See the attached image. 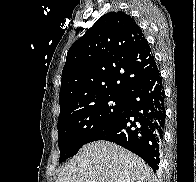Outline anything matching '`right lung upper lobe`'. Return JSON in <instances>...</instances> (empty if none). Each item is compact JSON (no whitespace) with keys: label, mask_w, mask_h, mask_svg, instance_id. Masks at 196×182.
<instances>
[{"label":"right lung upper lobe","mask_w":196,"mask_h":182,"mask_svg":"<svg viewBox=\"0 0 196 182\" xmlns=\"http://www.w3.org/2000/svg\"><path fill=\"white\" fill-rule=\"evenodd\" d=\"M155 64L148 41L130 15H103L68 50L60 113L102 96L126 98Z\"/></svg>","instance_id":"obj_1"}]
</instances>
